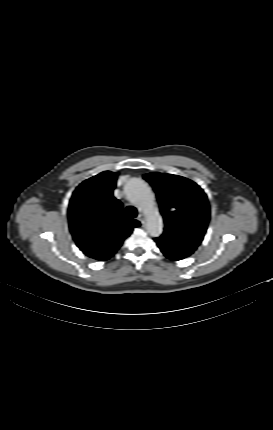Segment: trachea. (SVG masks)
I'll list each match as a JSON object with an SVG mask.
<instances>
[{"instance_id": "3493384b", "label": "trachea", "mask_w": 273, "mask_h": 430, "mask_svg": "<svg viewBox=\"0 0 273 430\" xmlns=\"http://www.w3.org/2000/svg\"><path fill=\"white\" fill-rule=\"evenodd\" d=\"M137 216V209L133 206H128L125 210V218L133 219Z\"/></svg>"}]
</instances>
